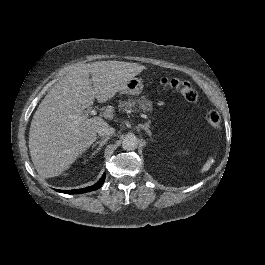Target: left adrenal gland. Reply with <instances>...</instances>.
Wrapping results in <instances>:
<instances>
[{
	"mask_svg": "<svg viewBox=\"0 0 265 265\" xmlns=\"http://www.w3.org/2000/svg\"><path fill=\"white\" fill-rule=\"evenodd\" d=\"M143 129L145 130V132L148 134V136L151 138L152 136V133H151V130L149 129L150 128V121H148L147 123L145 124H139L137 129Z\"/></svg>",
	"mask_w": 265,
	"mask_h": 265,
	"instance_id": "left-adrenal-gland-1",
	"label": "left adrenal gland"
}]
</instances>
